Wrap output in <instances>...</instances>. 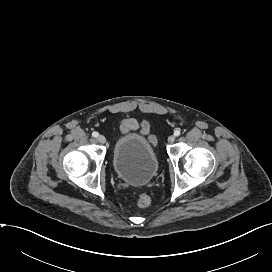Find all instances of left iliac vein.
Wrapping results in <instances>:
<instances>
[{
    "label": "left iliac vein",
    "instance_id": "obj_1",
    "mask_svg": "<svg viewBox=\"0 0 272 272\" xmlns=\"http://www.w3.org/2000/svg\"><path fill=\"white\" fill-rule=\"evenodd\" d=\"M175 141V136L174 135H171L168 137V142L169 143H173Z\"/></svg>",
    "mask_w": 272,
    "mask_h": 272
}]
</instances>
